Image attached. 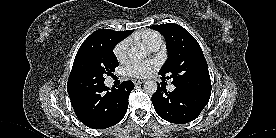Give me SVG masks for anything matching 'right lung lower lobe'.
Listing matches in <instances>:
<instances>
[{"label": "right lung lower lobe", "mask_w": 276, "mask_h": 138, "mask_svg": "<svg viewBox=\"0 0 276 138\" xmlns=\"http://www.w3.org/2000/svg\"><path fill=\"white\" fill-rule=\"evenodd\" d=\"M134 88L132 81L122 82L117 89L104 84L85 91L69 93L78 119L92 129H105L120 122L128 108Z\"/></svg>", "instance_id": "obj_1"}]
</instances>
